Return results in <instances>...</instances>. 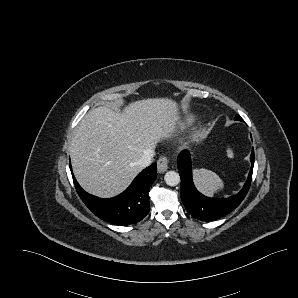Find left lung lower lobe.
<instances>
[{
	"instance_id": "0a47b994",
	"label": "left lung lower lobe",
	"mask_w": 298,
	"mask_h": 298,
	"mask_svg": "<svg viewBox=\"0 0 298 298\" xmlns=\"http://www.w3.org/2000/svg\"><path fill=\"white\" fill-rule=\"evenodd\" d=\"M250 159L252 165L248 179L243 189L236 196L221 199L209 198L202 195L195 188L192 180L190 153L187 150L182 151L178 155L177 166L181 177L180 197L187 211L199 220L212 221L227 215L238 207L245 198L251 184L254 166V150H252Z\"/></svg>"
}]
</instances>
